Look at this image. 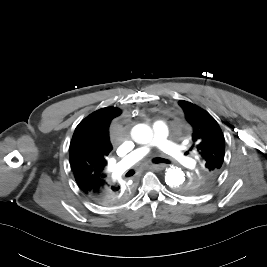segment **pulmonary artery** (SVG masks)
Instances as JSON below:
<instances>
[{
  "instance_id": "obj_1",
  "label": "pulmonary artery",
  "mask_w": 267,
  "mask_h": 267,
  "mask_svg": "<svg viewBox=\"0 0 267 267\" xmlns=\"http://www.w3.org/2000/svg\"><path fill=\"white\" fill-rule=\"evenodd\" d=\"M154 130V143L152 145H143L132 152H130L127 156H125L122 160H120L117 164L114 165L113 171L117 174H121L135 163L140 161L142 158L147 156L152 146L159 147L162 151H164L167 155L171 156L176 161L187 164L188 159L182 153L181 148L175 144L174 142L167 141L168 136V126L166 123L162 121H158L153 125Z\"/></svg>"
}]
</instances>
